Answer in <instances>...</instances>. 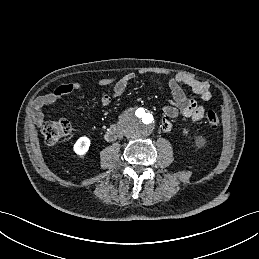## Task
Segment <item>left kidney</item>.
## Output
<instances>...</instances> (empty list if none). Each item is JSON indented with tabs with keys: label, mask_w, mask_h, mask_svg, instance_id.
I'll list each match as a JSON object with an SVG mask.
<instances>
[{
	"label": "left kidney",
	"mask_w": 259,
	"mask_h": 259,
	"mask_svg": "<svg viewBox=\"0 0 259 259\" xmlns=\"http://www.w3.org/2000/svg\"><path fill=\"white\" fill-rule=\"evenodd\" d=\"M184 132H185V133H188V131H187V130H184Z\"/></svg>",
	"instance_id": "obj_1"
}]
</instances>
